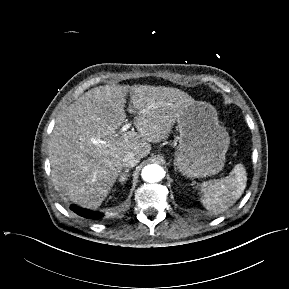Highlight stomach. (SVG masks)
Wrapping results in <instances>:
<instances>
[{
  "label": "stomach",
  "instance_id": "0dacf381",
  "mask_svg": "<svg viewBox=\"0 0 289 289\" xmlns=\"http://www.w3.org/2000/svg\"><path fill=\"white\" fill-rule=\"evenodd\" d=\"M179 145L174 165L187 177H205L219 173L230 144L226 129L219 124L215 108L195 101L177 118Z\"/></svg>",
  "mask_w": 289,
  "mask_h": 289
}]
</instances>
